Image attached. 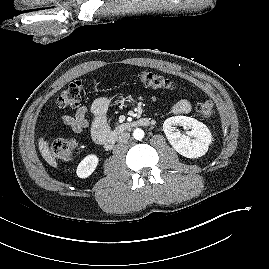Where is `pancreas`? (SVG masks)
I'll list each match as a JSON object with an SVG mask.
<instances>
[{"mask_svg": "<svg viewBox=\"0 0 269 269\" xmlns=\"http://www.w3.org/2000/svg\"><path fill=\"white\" fill-rule=\"evenodd\" d=\"M118 128H122V125H121V126H119Z\"/></svg>", "mask_w": 269, "mask_h": 269, "instance_id": "obj_1", "label": "pancreas"}]
</instances>
